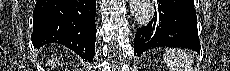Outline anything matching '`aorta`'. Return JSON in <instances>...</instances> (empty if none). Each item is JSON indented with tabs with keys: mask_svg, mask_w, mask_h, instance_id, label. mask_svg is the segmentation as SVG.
<instances>
[{
	"mask_svg": "<svg viewBox=\"0 0 230 71\" xmlns=\"http://www.w3.org/2000/svg\"><path fill=\"white\" fill-rule=\"evenodd\" d=\"M134 14L140 26L149 24L153 16V4L151 0H135Z\"/></svg>",
	"mask_w": 230,
	"mask_h": 71,
	"instance_id": "obj_1",
	"label": "aorta"
}]
</instances>
